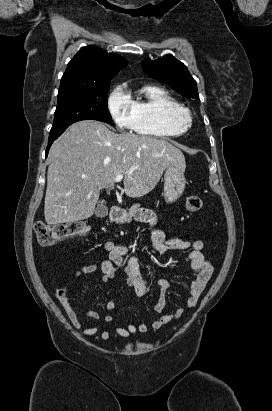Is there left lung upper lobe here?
<instances>
[{
  "label": "left lung upper lobe",
  "mask_w": 272,
  "mask_h": 411,
  "mask_svg": "<svg viewBox=\"0 0 272 411\" xmlns=\"http://www.w3.org/2000/svg\"><path fill=\"white\" fill-rule=\"evenodd\" d=\"M141 66L149 77L173 87L183 97L198 99L196 81L186 66L171 54L154 61L143 60Z\"/></svg>",
  "instance_id": "1"
}]
</instances>
